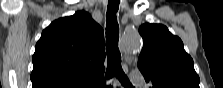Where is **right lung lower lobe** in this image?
<instances>
[{
	"mask_svg": "<svg viewBox=\"0 0 223 88\" xmlns=\"http://www.w3.org/2000/svg\"><path fill=\"white\" fill-rule=\"evenodd\" d=\"M101 87H106V86H104V85H101ZM108 87H110V86H108Z\"/></svg>",
	"mask_w": 223,
	"mask_h": 88,
	"instance_id": "right-lung-lower-lobe-1",
	"label": "right lung lower lobe"
}]
</instances>
